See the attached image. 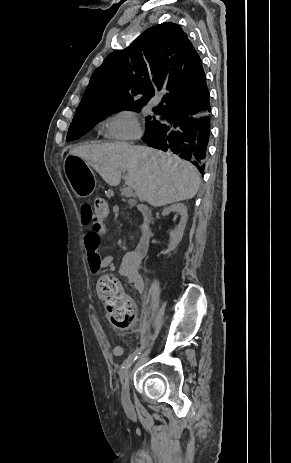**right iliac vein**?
Masks as SVG:
<instances>
[{
	"label": "right iliac vein",
	"mask_w": 291,
	"mask_h": 463,
	"mask_svg": "<svg viewBox=\"0 0 291 463\" xmlns=\"http://www.w3.org/2000/svg\"><path fill=\"white\" fill-rule=\"evenodd\" d=\"M132 368L129 370V373L127 375V379L129 378L131 374ZM121 397H122V403L123 407L128 410L131 408V400H130V395H129V385H128V380L126 383L123 384L122 386V391H121Z\"/></svg>",
	"instance_id": "1"
}]
</instances>
